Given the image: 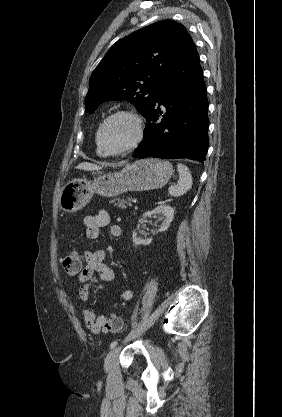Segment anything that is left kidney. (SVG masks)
Wrapping results in <instances>:
<instances>
[{"label": "left kidney", "mask_w": 282, "mask_h": 417, "mask_svg": "<svg viewBox=\"0 0 282 417\" xmlns=\"http://www.w3.org/2000/svg\"><path fill=\"white\" fill-rule=\"evenodd\" d=\"M151 215L163 217L164 221L160 229L156 231V233H160V231H167L170 223H172L174 219V209H172V206H169V204H166V202H161V204L156 206V209H153V211H147V213H144L138 223H146L147 217H151ZM137 235L138 233H136V231L132 233V243H134V245H150V243H152V239H141V237H137Z\"/></svg>", "instance_id": "obj_1"}]
</instances>
